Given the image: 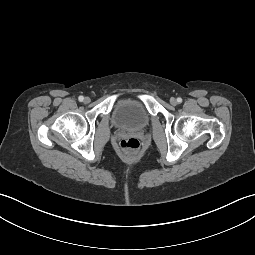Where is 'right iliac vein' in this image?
Returning a JSON list of instances; mask_svg holds the SVG:
<instances>
[{
  "label": "right iliac vein",
  "mask_w": 255,
  "mask_h": 255,
  "mask_svg": "<svg viewBox=\"0 0 255 255\" xmlns=\"http://www.w3.org/2000/svg\"><path fill=\"white\" fill-rule=\"evenodd\" d=\"M89 102H90V98L89 97L84 98V103L85 104H88Z\"/></svg>",
  "instance_id": "right-iliac-vein-1"
}]
</instances>
